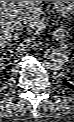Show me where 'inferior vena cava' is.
Returning <instances> with one entry per match:
<instances>
[{
  "label": "inferior vena cava",
  "mask_w": 74,
  "mask_h": 122,
  "mask_svg": "<svg viewBox=\"0 0 74 122\" xmlns=\"http://www.w3.org/2000/svg\"><path fill=\"white\" fill-rule=\"evenodd\" d=\"M26 26H27V23L22 21V20H14V21H12V27L16 31H22L23 29L26 28Z\"/></svg>",
  "instance_id": "1"
}]
</instances>
